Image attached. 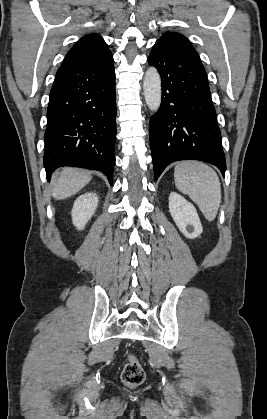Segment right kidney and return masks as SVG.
<instances>
[{
	"instance_id": "ca27d5eb",
	"label": "right kidney",
	"mask_w": 267,
	"mask_h": 419,
	"mask_svg": "<svg viewBox=\"0 0 267 419\" xmlns=\"http://www.w3.org/2000/svg\"><path fill=\"white\" fill-rule=\"evenodd\" d=\"M98 205V197L95 193H86L79 196L74 202L71 215L72 222L78 230L85 228Z\"/></svg>"
}]
</instances>
